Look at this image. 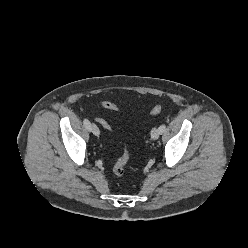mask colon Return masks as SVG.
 <instances>
[{
  "label": "colon",
  "instance_id": "obj_1",
  "mask_svg": "<svg viewBox=\"0 0 248 248\" xmlns=\"http://www.w3.org/2000/svg\"><path fill=\"white\" fill-rule=\"evenodd\" d=\"M100 106L110 110V111H119V106L113 102L110 101H102L100 103ZM163 110V106L161 104L155 105L151 110H150V115L155 116L158 115L161 111ZM96 121L107 131H111V126L110 124L103 118L97 117ZM130 158V153L127 149L124 150L122 155L117 159V161L113 165V173L116 176H122L125 172V166L127 162L129 161Z\"/></svg>",
  "mask_w": 248,
  "mask_h": 248
}]
</instances>
